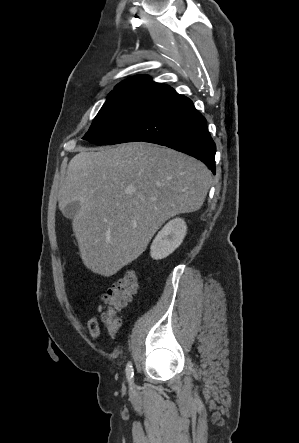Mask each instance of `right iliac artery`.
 I'll use <instances>...</instances> for the list:
<instances>
[{"instance_id": "right-iliac-artery-1", "label": "right iliac artery", "mask_w": 299, "mask_h": 443, "mask_svg": "<svg viewBox=\"0 0 299 443\" xmlns=\"http://www.w3.org/2000/svg\"><path fill=\"white\" fill-rule=\"evenodd\" d=\"M126 376L131 385L133 383L134 371H133V366L130 362L126 366Z\"/></svg>"}]
</instances>
